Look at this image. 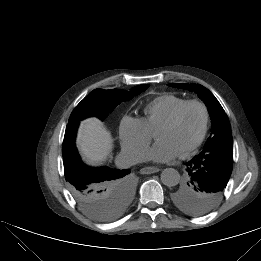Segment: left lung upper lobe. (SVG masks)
Segmentation results:
<instances>
[{
  "instance_id": "obj_1",
  "label": "left lung upper lobe",
  "mask_w": 261,
  "mask_h": 261,
  "mask_svg": "<svg viewBox=\"0 0 261 261\" xmlns=\"http://www.w3.org/2000/svg\"><path fill=\"white\" fill-rule=\"evenodd\" d=\"M169 86L195 91L208 108L211 135L203 151L187 163L184 182L172 199L182 211L202 216L213 210L224 196L233 168V142L227 114L215 96L200 84L175 83Z\"/></svg>"
}]
</instances>
